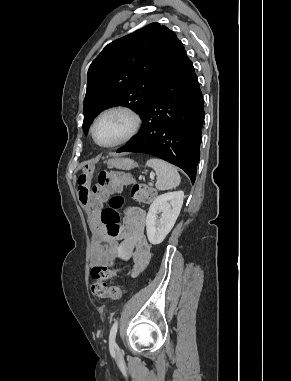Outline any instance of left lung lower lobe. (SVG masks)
I'll use <instances>...</instances> for the list:
<instances>
[{
    "label": "left lung lower lobe",
    "mask_w": 291,
    "mask_h": 381,
    "mask_svg": "<svg viewBox=\"0 0 291 381\" xmlns=\"http://www.w3.org/2000/svg\"><path fill=\"white\" fill-rule=\"evenodd\" d=\"M141 117V131L117 152L147 153L166 160L183 169L194 183L204 102L193 63L187 56L149 98Z\"/></svg>",
    "instance_id": "obj_1"
}]
</instances>
